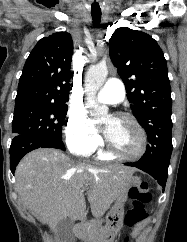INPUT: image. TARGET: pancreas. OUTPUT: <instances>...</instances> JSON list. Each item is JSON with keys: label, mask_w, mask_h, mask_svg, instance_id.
<instances>
[{"label": "pancreas", "mask_w": 187, "mask_h": 242, "mask_svg": "<svg viewBox=\"0 0 187 242\" xmlns=\"http://www.w3.org/2000/svg\"><path fill=\"white\" fill-rule=\"evenodd\" d=\"M101 223H102V221H99V220H92L91 222H90V224L91 225H101Z\"/></svg>", "instance_id": "obj_1"}]
</instances>
